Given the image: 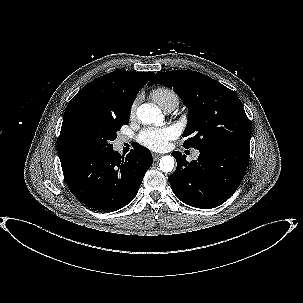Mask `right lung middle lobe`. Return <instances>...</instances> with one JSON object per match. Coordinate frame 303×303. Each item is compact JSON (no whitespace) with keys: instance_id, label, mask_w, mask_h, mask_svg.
Returning <instances> with one entry per match:
<instances>
[{"instance_id":"right-lung-middle-lobe-1","label":"right lung middle lobe","mask_w":303,"mask_h":303,"mask_svg":"<svg viewBox=\"0 0 303 303\" xmlns=\"http://www.w3.org/2000/svg\"><path fill=\"white\" fill-rule=\"evenodd\" d=\"M128 122L106 118L88 108L76 110L62 125L58 147L73 156L111 149V141Z\"/></svg>"}]
</instances>
